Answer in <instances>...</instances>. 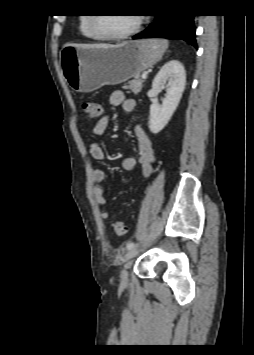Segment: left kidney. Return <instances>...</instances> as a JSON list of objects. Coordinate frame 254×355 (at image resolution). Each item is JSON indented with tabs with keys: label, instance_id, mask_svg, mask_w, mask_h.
Instances as JSON below:
<instances>
[{
	"label": "left kidney",
	"instance_id": "1",
	"mask_svg": "<svg viewBox=\"0 0 254 355\" xmlns=\"http://www.w3.org/2000/svg\"><path fill=\"white\" fill-rule=\"evenodd\" d=\"M171 78L166 86V97L161 105L152 103L150 106L149 129L152 133H159L169 122L177 109L186 85V73L183 65L177 60L167 62L153 80V89H164L165 82Z\"/></svg>",
	"mask_w": 254,
	"mask_h": 355
}]
</instances>
